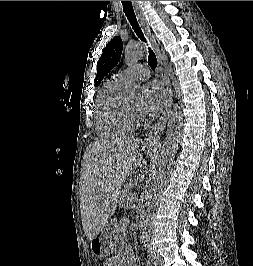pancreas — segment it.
<instances>
[{
  "instance_id": "1",
  "label": "pancreas",
  "mask_w": 253,
  "mask_h": 266,
  "mask_svg": "<svg viewBox=\"0 0 253 266\" xmlns=\"http://www.w3.org/2000/svg\"><path fill=\"white\" fill-rule=\"evenodd\" d=\"M121 203H127L128 206L133 207L138 201L136 192L132 191L130 185H126L125 190L122 192Z\"/></svg>"
}]
</instances>
